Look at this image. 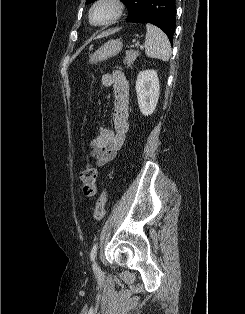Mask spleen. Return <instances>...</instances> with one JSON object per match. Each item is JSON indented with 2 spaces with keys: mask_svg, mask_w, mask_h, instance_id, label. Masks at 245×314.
Returning a JSON list of instances; mask_svg holds the SVG:
<instances>
[{
  "mask_svg": "<svg viewBox=\"0 0 245 314\" xmlns=\"http://www.w3.org/2000/svg\"><path fill=\"white\" fill-rule=\"evenodd\" d=\"M145 54L149 58L168 61L171 56V45L166 34L158 27L146 24Z\"/></svg>",
  "mask_w": 245,
  "mask_h": 314,
  "instance_id": "obj_1",
  "label": "spleen"
}]
</instances>
